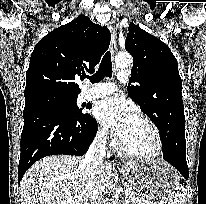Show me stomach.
<instances>
[{
  "instance_id": "1",
  "label": "stomach",
  "mask_w": 206,
  "mask_h": 204,
  "mask_svg": "<svg viewBox=\"0 0 206 204\" xmlns=\"http://www.w3.org/2000/svg\"><path fill=\"white\" fill-rule=\"evenodd\" d=\"M128 186L142 199L151 202L166 200L179 186L177 171L163 161L135 163L121 169Z\"/></svg>"
}]
</instances>
